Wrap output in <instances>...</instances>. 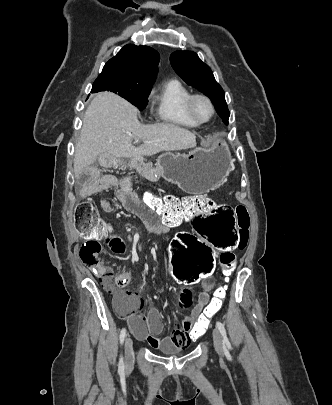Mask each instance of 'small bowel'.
Returning <instances> with one entry per match:
<instances>
[{
    "instance_id": "obj_1",
    "label": "small bowel",
    "mask_w": 332,
    "mask_h": 405,
    "mask_svg": "<svg viewBox=\"0 0 332 405\" xmlns=\"http://www.w3.org/2000/svg\"><path fill=\"white\" fill-rule=\"evenodd\" d=\"M133 164L140 171H146L152 167V163L147 162L143 156L134 158ZM91 167L83 168L82 172H79L78 177L74 179L75 186H96L97 182L101 181V172L97 171L100 167L99 164L95 162ZM124 176V168H114L113 176L109 174L104 177V184L107 188H113L116 186L115 177ZM127 178L134 180L136 173L129 171ZM129 180L124 179L120 183L117 193L112 196L113 203H120L121 206L114 208L108 202L101 204L100 207L106 215H113L114 213L116 215L133 214L143 221L151 233L157 235L167 233L170 227H176L182 222H171L166 226L160 220L154 221L152 217L154 212L150 208H145L144 203H141V198L132 190ZM170 253H172V248H170ZM132 259L137 263H143L137 253L132 254ZM105 271H107L106 268L99 272V276L103 281ZM117 278L122 285H125L130 281V273L123 271ZM200 285L201 291L197 295L196 300L190 296L189 290H184L179 302H176L175 308L176 311H190V314L184 318L182 326L175 328L172 335L164 338H159L164 325L157 308H151L147 314L137 313L142 306V301L135 295L133 303L126 312L117 308L116 305L115 308L120 315L127 317L130 330L135 337L146 341L154 349L164 351L165 353H178L180 348H185L190 343L189 331L190 329H194L198 311H202L203 307L209 306V293L214 288L213 276L209 275L208 281L200 282Z\"/></svg>"
}]
</instances>
